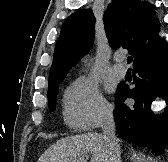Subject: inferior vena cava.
Listing matches in <instances>:
<instances>
[{
	"label": "inferior vena cava",
	"mask_w": 168,
	"mask_h": 162,
	"mask_svg": "<svg viewBox=\"0 0 168 162\" xmlns=\"http://www.w3.org/2000/svg\"><path fill=\"white\" fill-rule=\"evenodd\" d=\"M103 139L109 154V162H121V150L118 139L115 136V122L112 109H107L103 113L101 124Z\"/></svg>",
	"instance_id": "1"
}]
</instances>
